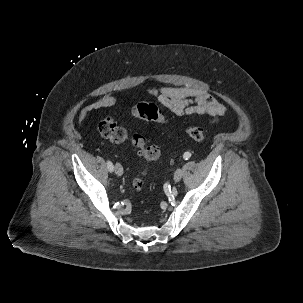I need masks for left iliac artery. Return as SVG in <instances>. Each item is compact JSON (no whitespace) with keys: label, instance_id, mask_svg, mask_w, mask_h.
<instances>
[{"label":"left iliac artery","instance_id":"44dca946","mask_svg":"<svg viewBox=\"0 0 303 303\" xmlns=\"http://www.w3.org/2000/svg\"><path fill=\"white\" fill-rule=\"evenodd\" d=\"M190 157H191V153L190 152H185L184 155H183V158L185 160H188Z\"/></svg>","mask_w":303,"mask_h":303}]
</instances>
